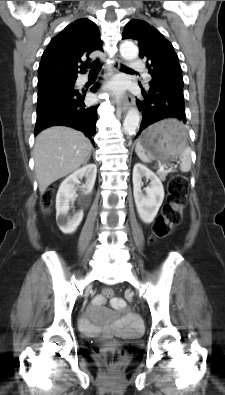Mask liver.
Masks as SVG:
<instances>
[{
    "mask_svg": "<svg viewBox=\"0 0 225 395\" xmlns=\"http://www.w3.org/2000/svg\"><path fill=\"white\" fill-rule=\"evenodd\" d=\"M91 150L90 140L73 128L53 126L39 133L33 157L40 193L85 164Z\"/></svg>",
    "mask_w": 225,
    "mask_h": 395,
    "instance_id": "obj_1",
    "label": "liver"
}]
</instances>
